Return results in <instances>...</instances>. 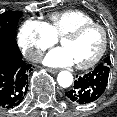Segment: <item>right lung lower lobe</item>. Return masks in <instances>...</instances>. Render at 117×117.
Returning a JSON list of instances; mask_svg holds the SVG:
<instances>
[{
	"mask_svg": "<svg viewBox=\"0 0 117 117\" xmlns=\"http://www.w3.org/2000/svg\"><path fill=\"white\" fill-rule=\"evenodd\" d=\"M32 70L22 60L16 41L0 38V109H10L22 102Z\"/></svg>",
	"mask_w": 117,
	"mask_h": 117,
	"instance_id": "98d812e1",
	"label": "right lung lower lobe"
}]
</instances>
